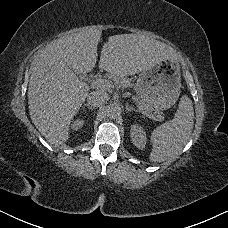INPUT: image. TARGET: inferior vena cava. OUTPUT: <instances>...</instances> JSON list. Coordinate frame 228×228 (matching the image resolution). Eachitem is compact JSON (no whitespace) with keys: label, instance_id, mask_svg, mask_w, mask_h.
I'll return each mask as SVG.
<instances>
[{"label":"inferior vena cava","instance_id":"602c4592","mask_svg":"<svg viewBox=\"0 0 228 228\" xmlns=\"http://www.w3.org/2000/svg\"><path fill=\"white\" fill-rule=\"evenodd\" d=\"M109 100L107 92L102 90H96L88 94L87 103L92 107L103 106Z\"/></svg>","mask_w":228,"mask_h":228}]
</instances>
